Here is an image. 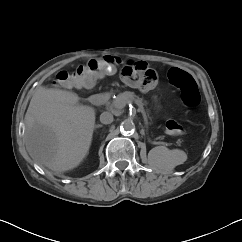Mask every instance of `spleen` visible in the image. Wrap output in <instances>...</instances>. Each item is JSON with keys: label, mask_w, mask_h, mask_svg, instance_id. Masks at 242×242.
Returning <instances> with one entry per match:
<instances>
[{"label": "spleen", "mask_w": 242, "mask_h": 242, "mask_svg": "<svg viewBox=\"0 0 242 242\" xmlns=\"http://www.w3.org/2000/svg\"><path fill=\"white\" fill-rule=\"evenodd\" d=\"M178 157L176 150H169L166 147L161 146L160 155L157 157V163L164 169L172 168L177 161Z\"/></svg>", "instance_id": "3e777b00"}]
</instances>
